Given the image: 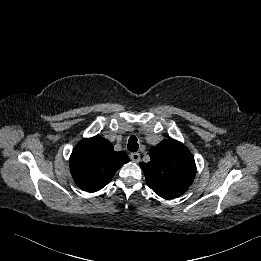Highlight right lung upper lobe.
<instances>
[{"label":"right lung upper lobe","mask_w":261,"mask_h":261,"mask_svg":"<svg viewBox=\"0 0 261 261\" xmlns=\"http://www.w3.org/2000/svg\"><path fill=\"white\" fill-rule=\"evenodd\" d=\"M129 162L123 151L101 136L80 141L70 156V171L76 185L84 191L96 192L107 185L116 171Z\"/></svg>","instance_id":"cb5924a9"}]
</instances>
